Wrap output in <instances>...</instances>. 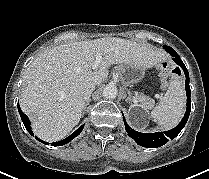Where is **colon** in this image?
<instances>
[{
    "label": "colon",
    "mask_w": 209,
    "mask_h": 179,
    "mask_svg": "<svg viewBox=\"0 0 209 179\" xmlns=\"http://www.w3.org/2000/svg\"><path fill=\"white\" fill-rule=\"evenodd\" d=\"M181 74L180 70L178 68L172 69L169 72H167L166 76H165V83H169L172 80L176 79L177 77H179Z\"/></svg>",
    "instance_id": "obj_1"
}]
</instances>
